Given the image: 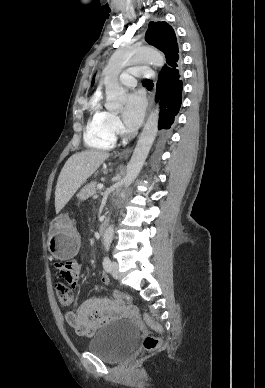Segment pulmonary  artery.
Instances as JSON below:
<instances>
[{"mask_svg": "<svg viewBox=\"0 0 265 388\" xmlns=\"http://www.w3.org/2000/svg\"><path fill=\"white\" fill-rule=\"evenodd\" d=\"M141 68L142 67L139 64H129L127 66V69L131 71L132 75H127L128 71L126 69H123L121 71V86H136L137 80L135 76H137L138 79H152V72H141Z\"/></svg>", "mask_w": 265, "mask_h": 388, "instance_id": "pulmonary-artery-1", "label": "pulmonary artery"}]
</instances>
